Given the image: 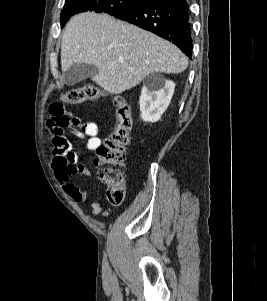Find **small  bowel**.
I'll list each match as a JSON object with an SVG mask.
<instances>
[{
	"label": "small bowel",
	"mask_w": 267,
	"mask_h": 301,
	"mask_svg": "<svg viewBox=\"0 0 267 301\" xmlns=\"http://www.w3.org/2000/svg\"><path fill=\"white\" fill-rule=\"evenodd\" d=\"M49 114L50 118L46 126L53 144L51 166L57 181L64 192L76 202H85L91 195L97 197L98 193L82 190L71 182L72 177L76 174L91 176L92 172L82 164L83 155L73 149L72 143L66 137L65 129L71 128L77 137L85 140L89 150H96L101 145L98 125L95 122H81L58 101L50 104ZM91 214L108 216V212L103 211L98 199L91 204Z\"/></svg>",
	"instance_id": "1"
}]
</instances>
